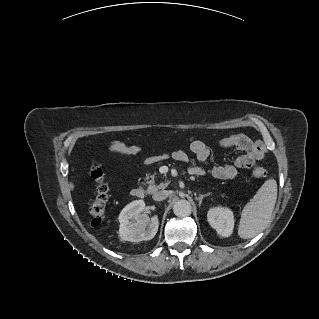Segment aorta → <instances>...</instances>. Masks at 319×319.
Returning a JSON list of instances; mask_svg holds the SVG:
<instances>
[{
    "label": "aorta",
    "instance_id": "1",
    "mask_svg": "<svg viewBox=\"0 0 319 319\" xmlns=\"http://www.w3.org/2000/svg\"><path fill=\"white\" fill-rule=\"evenodd\" d=\"M191 211V204L185 199H180L173 205V212L178 217H187L191 214Z\"/></svg>",
    "mask_w": 319,
    "mask_h": 319
}]
</instances>
